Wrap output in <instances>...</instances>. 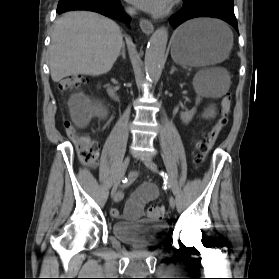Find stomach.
<instances>
[{
  "instance_id": "stomach-1",
  "label": "stomach",
  "mask_w": 279,
  "mask_h": 279,
  "mask_svg": "<svg viewBox=\"0 0 279 279\" xmlns=\"http://www.w3.org/2000/svg\"><path fill=\"white\" fill-rule=\"evenodd\" d=\"M171 43L174 62L204 67L226 59L233 45V37L216 20L196 19L180 26L174 32Z\"/></svg>"
}]
</instances>
